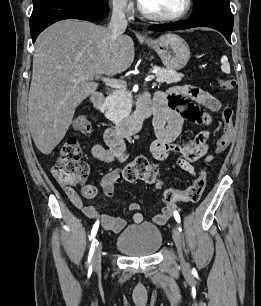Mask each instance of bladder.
<instances>
[{
	"label": "bladder",
	"instance_id": "bladder-1",
	"mask_svg": "<svg viewBox=\"0 0 261 306\" xmlns=\"http://www.w3.org/2000/svg\"><path fill=\"white\" fill-rule=\"evenodd\" d=\"M163 237L160 229L144 222L126 227L115 240V247L125 255L146 257L158 252Z\"/></svg>",
	"mask_w": 261,
	"mask_h": 306
}]
</instances>
